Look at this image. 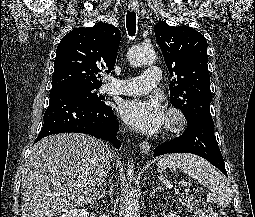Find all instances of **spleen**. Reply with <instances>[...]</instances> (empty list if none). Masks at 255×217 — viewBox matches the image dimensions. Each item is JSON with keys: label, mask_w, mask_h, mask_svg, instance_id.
<instances>
[{"label": "spleen", "mask_w": 255, "mask_h": 217, "mask_svg": "<svg viewBox=\"0 0 255 217\" xmlns=\"http://www.w3.org/2000/svg\"><path fill=\"white\" fill-rule=\"evenodd\" d=\"M166 168H180L216 193L220 207H227L231 203L233 192L229 181L206 160L193 154H169L160 159L157 164V171L160 173Z\"/></svg>", "instance_id": "spleen-1"}]
</instances>
